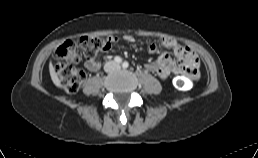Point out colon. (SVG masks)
<instances>
[{"label":"colon","mask_w":258,"mask_h":158,"mask_svg":"<svg viewBox=\"0 0 258 158\" xmlns=\"http://www.w3.org/2000/svg\"><path fill=\"white\" fill-rule=\"evenodd\" d=\"M115 40L114 37L83 36L67 39L56 49L54 71L67 92H77L85 79V74L74 67L81 59L80 50L87 58H94L99 52L111 49ZM176 86L180 90H188L189 81L179 78Z\"/></svg>","instance_id":"1"}]
</instances>
